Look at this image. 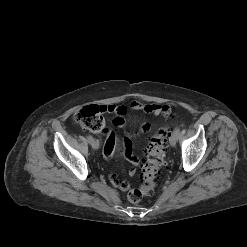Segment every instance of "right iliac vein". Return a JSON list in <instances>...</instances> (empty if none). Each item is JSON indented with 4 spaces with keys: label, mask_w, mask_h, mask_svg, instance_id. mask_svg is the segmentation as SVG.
<instances>
[{
    "label": "right iliac vein",
    "mask_w": 247,
    "mask_h": 247,
    "mask_svg": "<svg viewBox=\"0 0 247 247\" xmlns=\"http://www.w3.org/2000/svg\"><path fill=\"white\" fill-rule=\"evenodd\" d=\"M90 143V145L92 146V148L93 149H98L99 148V144H98V142L96 141V140H92L91 142H89Z\"/></svg>",
    "instance_id": "63e3f726"
}]
</instances>
